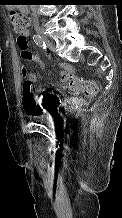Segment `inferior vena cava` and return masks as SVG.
Segmentation results:
<instances>
[{
	"instance_id": "inferior-vena-cava-1",
	"label": "inferior vena cava",
	"mask_w": 122,
	"mask_h": 218,
	"mask_svg": "<svg viewBox=\"0 0 122 218\" xmlns=\"http://www.w3.org/2000/svg\"><path fill=\"white\" fill-rule=\"evenodd\" d=\"M34 26H35V28L39 27L37 17L34 18Z\"/></svg>"
}]
</instances>
